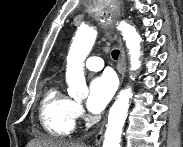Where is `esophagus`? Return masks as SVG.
<instances>
[{"mask_svg": "<svg viewBox=\"0 0 183 147\" xmlns=\"http://www.w3.org/2000/svg\"><path fill=\"white\" fill-rule=\"evenodd\" d=\"M126 71V54L125 50L121 44V52H120V67H119V73H120V82L122 83ZM105 120L102 122L96 137H95V144L100 145L103 139V132H104V126H105Z\"/></svg>", "mask_w": 183, "mask_h": 147, "instance_id": "esophagus-1", "label": "esophagus"}]
</instances>
